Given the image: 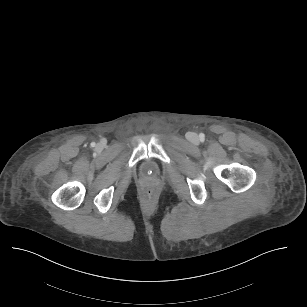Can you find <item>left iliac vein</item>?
<instances>
[{"instance_id":"obj_1","label":"left iliac vein","mask_w":307,"mask_h":307,"mask_svg":"<svg viewBox=\"0 0 307 307\" xmlns=\"http://www.w3.org/2000/svg\"><path fill=\"white\" fill-rule=\"evenodd\" d=\"M197 140V135L196 134H193L192 135V141L194 142V141H196Z\"/></svg>"}]
</instances>
